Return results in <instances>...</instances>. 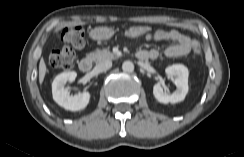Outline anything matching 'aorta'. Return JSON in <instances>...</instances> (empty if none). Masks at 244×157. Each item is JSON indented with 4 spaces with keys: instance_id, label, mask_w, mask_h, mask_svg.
<instances>
[{
    "instance_id": "1",
    "label": "aorta",
    "mask_w": 244,
    "mask_h": 157,
    "mask_svg": "<svg viewBox=\"0 0 244 157\" xmlns=\"http://www.w3.org/2000/svg\"><path fill=\"white\" fill-rule=\"evenodd\" d=\"M122 70L126 73H131L134 71V64L131 61H125L122 64Z\"/></svg>"
}]
</instances>
